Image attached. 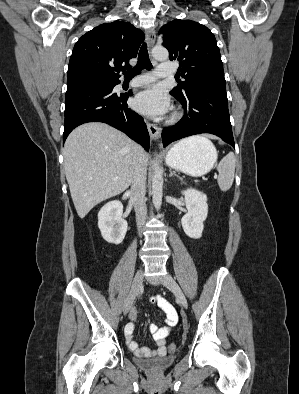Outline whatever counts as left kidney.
Instances as JSON below:
<instances>
[{"mask_svg":"<svg viewBox=\"0 0 299 394\" xmlns=\"http://www.w3.org/2000/svg\"><path fill=\"white\" fill-rule=\"evenodd\" d=\"M188 212L182 217L181 224L185 234L194 239L202 236L204 221L208 215L207 196L195 189L182 191Z\"/></svg>","mask_w":299,"mask_h":394,"instance_id":"left-kidney-1","label":"left kidney"}]
</instances>
